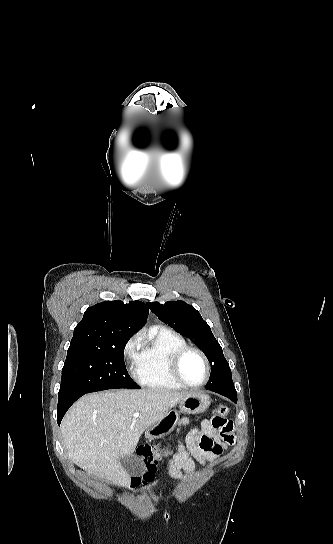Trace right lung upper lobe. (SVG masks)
Listing matches in <instances>:
<instances>
[{"instance_id":"cb5924a9","label":"right lung upper lobe","mask_w":333,"mask_h":544,"mask_svg":"<svg viewBox=\"0 0 333 544\" xmlns=\"http://www.w3.org/2000/svg\"><path fill=\"white\" fill-rule=\"evenodd\" d=\"M148 313L141 301H107L89 307L74 329L69 349L104 348L116 338L131 337L144 326Z\"/></svg>"}]
</instances>
